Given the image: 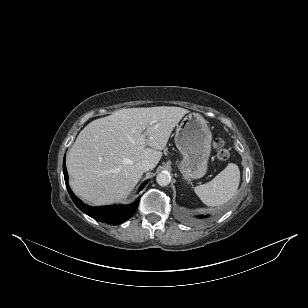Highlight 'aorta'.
<instances>
[{
	"label": "aorta",
	"instance_id": "obj_1",
	"mask_svg": "<svg viewBox=\"0 0 308 308\" xmlns=\"http://www.w3.org/2000/svg\"><path fill=\"white\" fill-rule=\"evenodd\" d=\"M156 181L160 186H167L171 181V176L168 172L162 171L157 175Z\"/></svg>",
	"mask_w": 308,
	"mask_h": 308
}]
</instances>
